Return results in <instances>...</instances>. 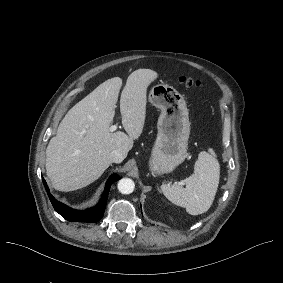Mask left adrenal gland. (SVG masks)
<instances>
[{"label": "left adrenal gland", "mask_w": 283, "mask_h": 283, "mask_svg": "<svg viewBox=\"0 0 283 283\" xmlns=\"http://www.w3.org/2000/svg\"><path fill=\"white\" fill-rule=\"evenodd\" d=\"M156 186H157V188H158L159 193H161V189H160V187H159V185H158L157 182H156Z\"/></svg>", "instance_id": "a2214340"}]
</instances>
